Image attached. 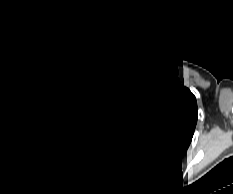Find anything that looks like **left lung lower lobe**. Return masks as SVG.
<instances>
[{
	"instance_id": "1",
	"label": "left lung lower lobe",
	"mask_w": 233,
	"mask_h": 194,
	"mask_svg": "<svg viewBox=\"0 0 233 194\" xmlns=\"http://www.w3.org/2000/svg\"><path fill=\"white\" fill-rule=\"evenodd\" d=\"M182 160L180 156L155 155L144 152L139 156L140 165L152 172H162L171 169Z\"/></svg>"
}]
</instances>
